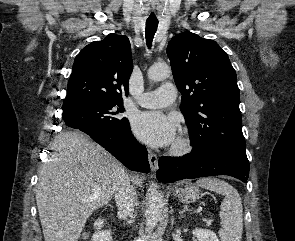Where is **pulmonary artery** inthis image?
Listing matches in <instances>:
<instances>
[{"label": "pulmonary artery", "instance_id": "e3ab8cb5", "mask_svg": "<svg viewBox=\"0 0 295 241\" xmlns=\"http://www.w3.org/2000/svg\"><path fill=\"white\" fill-rule=\"evenodd\" d=\"M176 97V88L171 83H165L155 91L143 93L137 102L145 108H162L173 103Z\"/></svg>", "mask_w": 295, "mask_h": 241}]
</instances>
